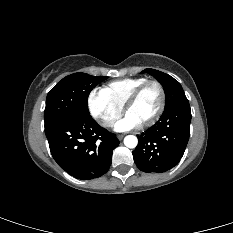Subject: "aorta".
<instances>
[{"label": "aorta", "mask_w": 233, "mask_h": 233, "mask_svg": "<svg viewBox=\"0 0 233 233\" xmlns=\"http://www.w3.org/2000/svg\"><path fill=\"white\" fill-rule=\"evenodd\" d=\"M138 144V139L134 135H128L124 138V145L128 148H135Z\"/></svg>", "instance_id": "obj_1"}]
</instances>
